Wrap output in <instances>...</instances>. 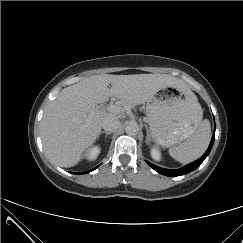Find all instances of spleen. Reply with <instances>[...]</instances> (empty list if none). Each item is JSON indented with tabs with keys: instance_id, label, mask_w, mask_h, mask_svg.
I'll list each match as a JSON object with an SVG mask.
<instances>
[{
	"instance_id": "spleen-1",
	"label": "spleen",
	"mask_w": 243,
	"mask_h": 243,
	"mask_svg": "<svg viewBox=\"0 0 243 243\" xmlns=\"http://www.w3.org/2000/svg\"><path fill=\"white\" fill-rule=\"evenodd\" d=\"M199 111V124L196 130L178 146L169 149V154L180 163H190L201 157L206 151L211 139V126L209 120H202V109L197 103Z\"/></svg>"
}]
</instances>
